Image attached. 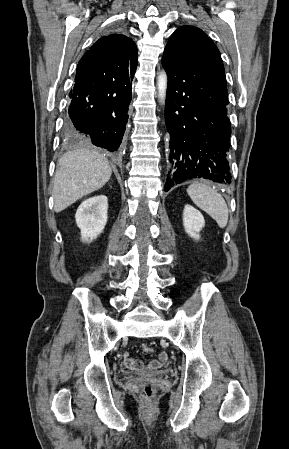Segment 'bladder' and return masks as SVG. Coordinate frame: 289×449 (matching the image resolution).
<instances>
[{"label":"bladder","mask_w":289,"mask_h":449,"mask_svg":"<svg viewBox=\"0 0 289 449\" xmlns=\"http://www.w3.org/2000/svg\"><path fill=\"white\" fill-rule=\"evenodd\" d=\"M167 373H168L167 370H158V371H153V372H147L146 374L151 375V376H158V375H166ZM125 375L126 376H132L133 373L126 372Z\"/></svg>","instance_id":"31cf9c89"}]
</instances>
